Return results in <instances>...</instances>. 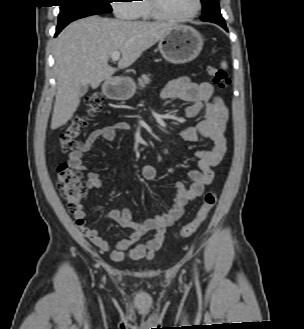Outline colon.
I'll return each instance as SVG.
<instances>
[{"label": "colon", "instance_id": "5ec220e1", "mask_svg": "<svg viewBox=\"0 0 304 329\" xmlns=\"http://www.w3.org/2000/svg\"><path fill=\"white\" fill-rule=\"evenodd\" d=\"M207 72L213 83L221 89L230 85V78L224 69L208 66ZM101 102L102 97L99 94H92L86 98L85 113L75 116L59 138V146L62 152L71 153L79 148L80 144L77 138L81 130L87 126L89 120L101 112ZM56 184L63 194L67 208L71 212H75L86 194L81 173L66 163H61L57 167ZM217 198L218 193L216 191H208L204 195L202 205L196 212L194 219L179 229L178 237L187 238L197 232L207 220L209 213L217 202Z\"/></svg>", "mask_w": 304, "mask_h": 329}]
</instances>
